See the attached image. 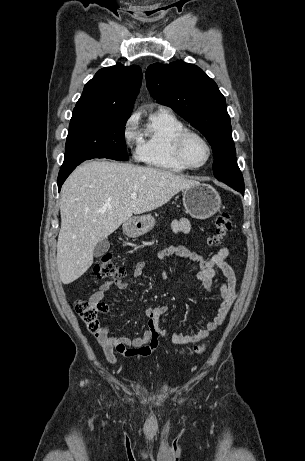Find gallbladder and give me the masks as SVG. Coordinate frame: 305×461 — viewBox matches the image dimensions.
Returning <instances> with one entry per match:
<instances>
[{"label":"gallbladder","instance_id":"gallbladder-1","mask_svg":"<svg viewBox=\"0 0 305 461\" xmlns=\"http://www.w3.org/2000/svg\"><path fill=\"white\" fill-rule=\"evenodd\" d=\"M109 248H110V243L107 239H104L98 242L94 248V256L95 257L103 256L105 253L108 252Z\"/></svg>","mask_w":305,"mask_h":461}]
</instances>
